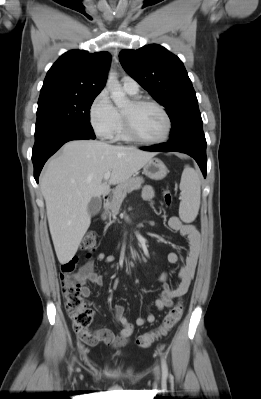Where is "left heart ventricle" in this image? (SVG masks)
<instances>
[{"label":"left heart ventricle","instance_id":"left-heart-ventricle-1","mask_svg":"<svg viewBox=\"0 0 261 399\" xmlns=\"http://www.w3.org/2000/svg\"><path fill=\"white\" fill-rule=\"evenodd\" d=\"M123 112L130 117L135 131L143 138L154 140L164 135L166 121L156 107H136L130 102Z\"/></svg>","mask_w":261,"mask_h":399}]
</instances>
